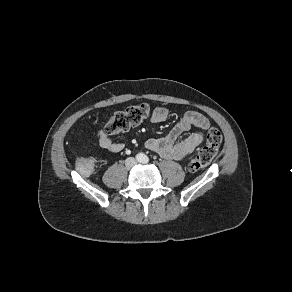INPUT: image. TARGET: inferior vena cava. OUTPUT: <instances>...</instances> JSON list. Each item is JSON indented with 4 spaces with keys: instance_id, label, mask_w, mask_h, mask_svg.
Here are the masks:
<instances>
[{
    "instance_id": "inferior-vena-cava-1",
    "label": "inferior vena cava",
    "mask_w": 292,
    "mask_h": 292,
    "mask_svg": "<svg viewBox=\"0 0 292 292\" xmlns=\"http://www.w3.org/2000/svg\"><path fill=\"white\" fill-rule=\"evenodd\" d=\"M136 164H137V161L133 157H129L125 160V165L127 169H131L132 167L136 166Z\"/></svg>"
}]
</instances>
